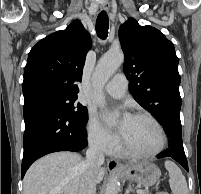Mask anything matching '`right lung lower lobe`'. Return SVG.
I'll list each match as a JSON object with an SVG mask.
<instances>
[{
    "mask_svg": "<svg viewBox=\"0 0 201 194\" xmlns=\"http://www.w3.org/2000/svg\"><path fill=\"white\" fill-rule=\"evenodd\" d=\"M25 132L22 178L38 158L58 151L78 152L87 146L83 124L51 103L33 99L24 103Z\"/></svg>",
    "mask_w": 201,
    "mask_h": 194,
    "instance_id": "1",
    "label": "right lung lower lobe"
}]
</instances>
